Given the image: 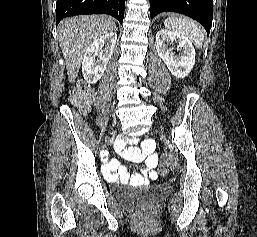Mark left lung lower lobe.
<instances>
[{
  "label": "left lung lower lobe",
  "mask_w": 257,
  "mask_h": 237,
  "mask_svg": "<svg viewBox=\"0 0 257 237\" xmlns=\"http://www.w3.org/2000/svg\"><path fill=\"white\" fill-rule=\"evenodd\" d=\"M177 12L200 22L209 34L212 26L213 0H150V16Z\"/></svg>",
  "instance_id": "0a47b994"
}]
</instances>
